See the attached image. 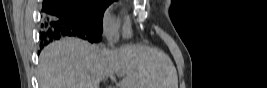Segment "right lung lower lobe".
Instances as JSON below:
<instances>
[{
    "mask_svg": "<svg viewBox=\"0 0 267 88\" xmlns=\"http://www.w3.org/2000/svg\"><path fill=\"white\" fill-rule=\"evenodd\" d=\"M79 36L83 39H88L90 42H98L100 36L93 35L81 27L76 26L72 21L63 18L50 16L49 22L45 25L44 31L40 38L44 43L59 39L61 36Z\"/></svg>",
    "mask_w": 267,
    "mask_h": 88,
    "instance_id": "1",
    "label": "right lung lower lobe"
}]
</instances>
